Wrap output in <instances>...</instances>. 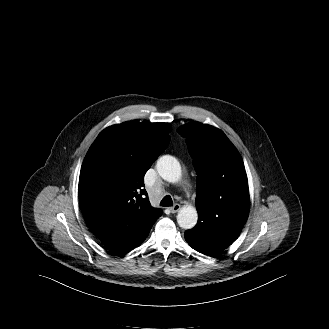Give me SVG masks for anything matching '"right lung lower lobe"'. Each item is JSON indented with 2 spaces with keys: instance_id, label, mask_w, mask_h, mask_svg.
<instances>
[{
  "instance_id": "1",
  "label": "right lung lower lobe",
  "mask_w": 329,
  "mask_h": 329,
  "mask_svg": "<svg viewBox=\"0 0 329 329\" xmlns=\"http://www.w3.org/2000/svg\"><path fill=\"white\" fill-rule=\"evenodd\" d=\"M154 222L143 229L114 233L101 241L110 252L125 255L130 249L141 245Z\"/></svg>"
}]
</instances>
